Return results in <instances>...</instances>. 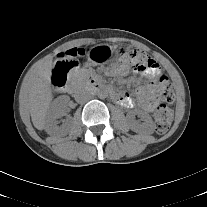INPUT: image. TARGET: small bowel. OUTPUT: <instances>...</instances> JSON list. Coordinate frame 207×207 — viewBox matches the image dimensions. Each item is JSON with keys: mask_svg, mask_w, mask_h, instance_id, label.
Here are the masks:
<instances>
[{"mask_svg": "<svg viewBox=\"0 0 207 207\" xmlns=\"http://www.w3.org/2000/svg\"><path fill=\"white\" fill-rule=\"evenodd\" d=\"M128 61L129 60H125V62L122 63L121 65L109 68L107 70V74L109 76H124L128 70V64H129ZM137 71L140 70L137 69ZM157 89H158V82L156 80H152L146 85L139 88L137 91L138 104L141 108H143L147 112H151L153 110ZM114 99L125 107H133L135 104L134 101L130 98V96L126 93L117 92L115 93Z\"/></svg>", "mask_w": 207, "mask_h": 207, "instance_id": "obj_1", "label": "small bowel"}]
</instances>
